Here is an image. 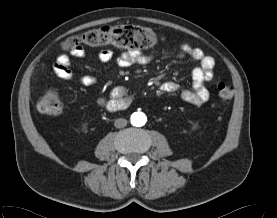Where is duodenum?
Masks as SVG:
<instances>
[{
  "label": "duodenum",
  "instance_id": "duodenum-1",
  "mask_svg": "<svg viewBox=\"0 0 277 218\" xmlns=\"http://www.w3.org/2000/svg\"><path fill=\"white\" fill-rule=\"evenodd\" d=\"M130 101H131L130 97L126 96L124 98H119L113 101L112 103H110V105L112 106L114 111H116V110H121L126 108L130 104ZM98 102L101 105H107V101H105L103 98H99Z\"/></svg>",
  "mask_w": 277,
  "mask_h": 218
}]
</instances>
